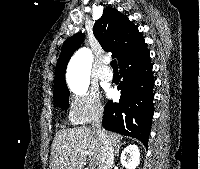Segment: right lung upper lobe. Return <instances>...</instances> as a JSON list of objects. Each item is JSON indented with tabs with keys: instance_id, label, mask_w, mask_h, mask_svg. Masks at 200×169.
Segmentation results:
<instances>
[{
	"instance_id": "1",
	"label": "right lung upper lobe",
	"mask_w": 200,
	"mask_h": 169,
	"mask_svg": "<svg viewBox=\"0 0 200 169\" xmlns=\"http://www.w3.org/2000/svg\"><path fill=\"white\" fill-rule=\"evenodd\" d=\"M93 34L102 48L112 52V57L117 58L119 67L148 52L137 26L113 8L104 10L101 18L94 24ZM83 40L84 36L79 32L65 41L56 65L53 95L69 92L65 82L66 66Z\"/></svg>"
}]
</instances>
